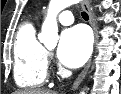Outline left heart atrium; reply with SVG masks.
<instances>
[{
  "mask_svg": "<svg viewBox=\"0 0 121 94\" xmlns=\"http://www.w3.org/2000/svg\"><path fill=\"white\" fill-rule=\"evenodd\" d=\"M91 51V38L82 26L66 29L58 46L59 60L68 67H79L88 59Z\"/></svg>",
  "mask_w": 121,
  "mask_h": 94,
  "instance_id": "1",
  "label": "left heart atrium"
}]
</instances>
